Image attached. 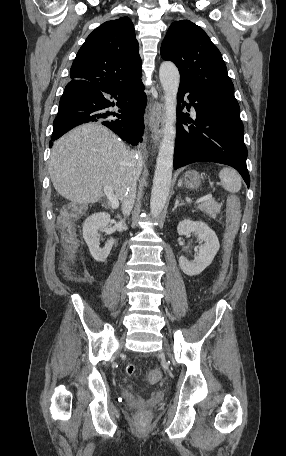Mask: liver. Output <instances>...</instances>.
<instances>
[{
	"label": "liver",
	"instance_id": "liver-1",
	"mask_svg": "<svg viewBox=\"0 0 286 456\" xmlns=\"http://www.w3.org/2000/svg\"><path fill=\"white\" fill-rule=\"evenodd\" d=\"M136 159L118 137L97 123L81 125L51 150L49 173L55 190L78 204L96 203L103 186H110L122 200L132 183Z\"/></svg>",
	"mask_w": 286,
	"mask_h": 456
}]
</instances>
